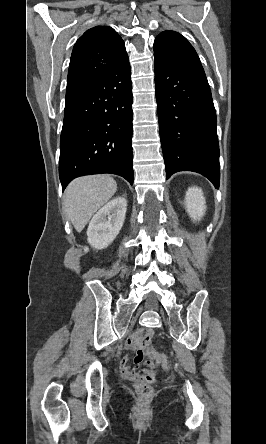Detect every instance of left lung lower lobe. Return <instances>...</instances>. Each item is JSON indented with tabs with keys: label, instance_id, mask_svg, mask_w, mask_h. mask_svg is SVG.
<instances>
[{
	"label": "left lung lower lobe",
	"instance_id": "0a47b994",
	"mask_svg": "<svg viewBox=\"0 0 266 444\" xmlns=\"http://www.w3.org/2000/svg\"><path fill=\"white\" fill-rule=\"evenodd\" d=\"M155 85L167 179L194 171L219 188L216 113L204 71L182 70L155 58Z\"/></svg>",
	"mask_w": 266,
	"mask_h": 444
}]
</instances>
